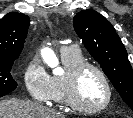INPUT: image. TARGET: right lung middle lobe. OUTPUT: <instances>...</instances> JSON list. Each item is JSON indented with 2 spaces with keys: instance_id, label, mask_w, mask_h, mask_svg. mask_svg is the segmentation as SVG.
I'll return each mask as SVG.
<instances>
[{
  "instance_id": "obj_1",
  "label": "right lung middle lobe",
  "mask_w": 133,
  "mask_h": 118,
  "mask_svg": "<svg viewBox=\"0 0 133 118\" xmlns=\"http://www.w3.org/2000/svg\"><path fill=\"white\" fill-rule=\"evenodd\" d=\"M15 59H0V97L16 89L17 83L10 71Z\"/></svg>"
}]
</instances>
